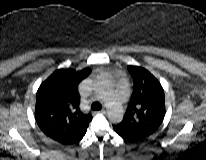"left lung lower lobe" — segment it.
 <instances>
[{"instance_id":"left-lung-lower-lobe-1","label":"left lung lower lobe","mask_w":206,"mask_h":160,"mask_svg":"<svg viewBox=\"0 0 206 160\" xmlns=\"http://www.w3.org/2000/svg\"><path fill=\"white\" fill-rule=\"evenodd\" d=\"M115 131H116L122 138H124V139H126V140H128V141L134 142V141H137V140L141 139V138L136 137V136H134V135H131V134H128V133H124V132H120V131H118V130H116V129H115Z\"/></svg>"}]
</instances>
